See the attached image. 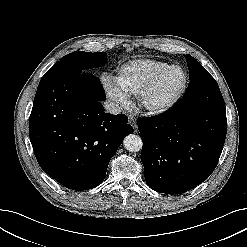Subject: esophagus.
<instances>
[{
	"label": "esophagus",
	"instance_id": "obj_1",
	"mask_svg": "<svg viewBox=\"0 0 247 247\" xmlns=\"http://www.w3.org/2000/svg\"><path fill=\"white\" fill-rule=\"evenodd\" d=\"M129 123L134 128V130L136 131V129H137L136 119L133 118L132 116H129Z\"/></svg>",
	"mask_w": 247,
	"mask_h": 247
}]
</instances>
